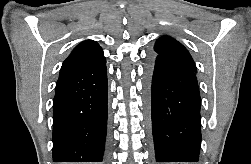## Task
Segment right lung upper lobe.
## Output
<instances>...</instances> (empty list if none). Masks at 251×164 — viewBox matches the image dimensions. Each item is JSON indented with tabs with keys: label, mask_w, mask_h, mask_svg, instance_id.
Returning <instances> with one entry per match:
<instances>
[{
	"label": "right lung upper lobe",
	"mask_w": 251,
	"mask_h": 164,
	"mask_svg": "<svg viewBox=\"0 0 251 164\" xmlns=\"http://www.w3.org/2000/svg\"><path fill=\"white\" fill-rule=\"evenodd\" d=\"M103 50L93 40L79 43L64 61L59 77L105 64Z\"/></svg>",
	"instance_id": "cb5924a9"
}]
</instances>
